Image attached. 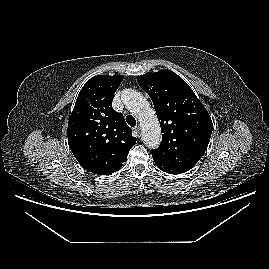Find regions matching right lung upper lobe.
Here are the masks:
<instances>
[{"label":"right lung upper lobe","mask_w":269,"mask_h":269,"mask_svg":"<svg viewBox=\"0 0 269 269\" xmlns=\"http://www.w3.org/2000/svg\"><path fill=\"white\" fill-rule=\"evenodd\" d=\"M123 75H98L81 89L68 122V143L80 165L109 175L122 167L136 138L121 113L112 108Z\"/></svg>","instance_id":"right-lung-upper-lobe-1"}]
</instances>
